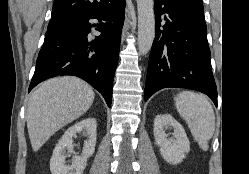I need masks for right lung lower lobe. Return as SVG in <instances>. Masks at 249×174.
<instances>
[{"label": "right lung lower lobe", "instance_id": "right-lung-lower-lobe-1", "mask_svg": "<svg viewBox=\"0 0 249 174\" xmlns=\"http://www.w3.org/2000/svg\"><path fill=\"white\" fill-rule=\"evenodd\" d=\"M124 16L125 0H114L101 11L75 16L47 28L29 91L48 78L72 75L98 90L110 107ZM90 19L100 22L96 29L101 34L93 42L87 39L90 28L95 26Z\"/></svg>", "mask_w": 249, "mask_h": 174}]
</instances>
